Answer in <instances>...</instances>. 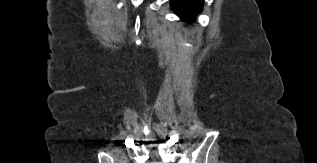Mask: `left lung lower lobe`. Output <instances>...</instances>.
<instances>
[{
    "mask_svg": "<svg viewBox=\"0 0 317 163\" xmlns=\"http://www.w3.org/2000/svg\"><path fill=\"white\" fill-rule=\"evenodd\" d=\"M204 0H170L175 13L185 20H192L201 12Z\"/></svg>",
    "mask_w": 317,
    "mask_h": 163,
    "instance_id": "1",
    "label": "left lung lower lobe"
}]
</instances>
